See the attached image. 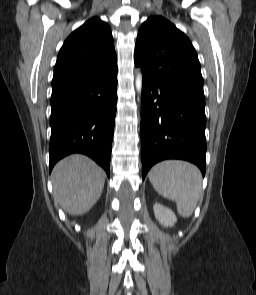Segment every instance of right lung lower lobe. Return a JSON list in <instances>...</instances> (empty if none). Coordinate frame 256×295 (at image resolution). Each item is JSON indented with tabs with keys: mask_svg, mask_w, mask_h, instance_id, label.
I'll return each mask as SVG.
<instances>
[{
	"mask_svg": "<svg viewBox=\"0 0 256 295\" xmlns=\"http://www.w3.org/2000/svg\"><path fill=\"white\" fill-rule=\"evenodd\" d=\"M117 103V66L52 87L50 167L83 153L110 174Z\"/></svg>",
	"mask_w": 256,
	"mask_h": 295,
	"instance_id": "98d812e1",
	"label": "right lung lower lobe"
}]
</instances>
